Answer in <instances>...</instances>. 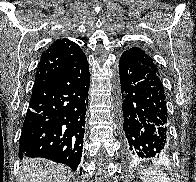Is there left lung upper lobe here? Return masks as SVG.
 I'll use <instances>...</instances> for the list:
<instances>
[{
    "label": "left lung upper lobe",
    "instance_id": "obj_1",
    "mask_svg": "<svg viewBox=\"0 0 196 182\" xmlns=\"http://www.w3.org/2000/svg\"><path fill=\"white\" fill-rule=\"evenodd\" d=\"M122 55H127L136 62L145 65L146 67L152 69L157 75H159L157 67L154 65L153 60L144 53L140 48L133 47L126 50Z\"/></svg>",
    "mask_w": 196,
    "mask_h": 182
}]
</instances>
